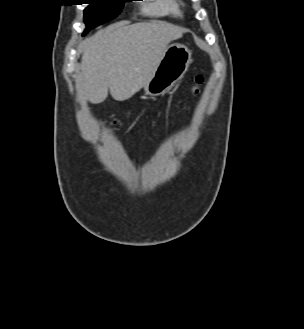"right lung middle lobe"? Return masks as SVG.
Instances as JSON below:
<instances>
[{
    "instance_id": "right-lung-middle-lobe-1",
    "label": "right lung middle lobe",
    "mask_w": 304,
    "mask_h": 329,
    "mask_svg": "<svg viewBox=\"0 0 304 329\" xmlns=\"http://www.w3.org/2000/svg\"><path fill=\"white\" fill-rule=\"evenodd\" d=\"M130 0H88L84 10V22L87 26L83 35L90 29L114 19L122 10L123 3Z\"/></svg>"
}]
</instances>
